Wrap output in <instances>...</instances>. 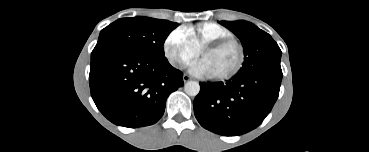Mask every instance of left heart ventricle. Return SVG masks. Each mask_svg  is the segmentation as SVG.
<instances>
[{"instance_id": "left-heart-ventricle-1", "label": "left heart ventricle", "mask_w": 369, "mask_h": 152, "mask_svg": "<svg viewBox=\"0 0 369 152\" xmlns=\"http://www.w3.org/2000/svg\"><path fill=\"white\" fill-rule=\"evenodd\" d=\"M238 49L234 44L225 45L217 50L205 51L201 55L211 76L225 74L231 71L238 61Z\"/></svg>"}]
</instances>
